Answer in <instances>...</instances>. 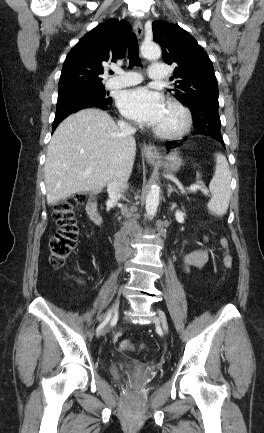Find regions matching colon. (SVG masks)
<instances>
[{
	"label": "colon",
	"instance_id": "1",
	"mask_svg": "<svg viewBox=\"0 0 264 433\" xmlns=\"http://www.w3.org/2000/svg\"><path fill=\"white\" fill-rule=\"evenodd\" d=\"M83 201L84 195L79 193L59 201L54 206L53 216L57 222L58 230L50 239L49 248L50 262L55 267H61L76 246L79 224L75 215V207ZM220 245L223 250V266L229 270L233 265V257L230 254L229 242L226 237L221 238ZM134 349L135 345L129 340H123L120 343V350L123 353H128Z\"/></svg>",
	"mask_w": 264,
	"mask_h": 433
}]
</instances>
